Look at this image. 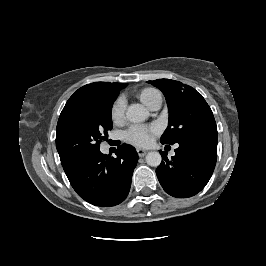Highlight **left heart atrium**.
<instances>
[{
  "instance_id": "left-heart-atrium-1",
  "label": "left heart atrium",
  "mask_w": 266,
  "mask_h": 266,
  "mask_svg": "<svg viewBox=\"0 0 266 266\" xmlns=\"http://www.w3.org/2000/svg\"><path fill=\"white\" fill-rule=\"evenodd\" d=\"M157 132L155 125H134L125 133V140L138 147H146L152 142L153 135Z\"/></svg>"
}]
</instances>
